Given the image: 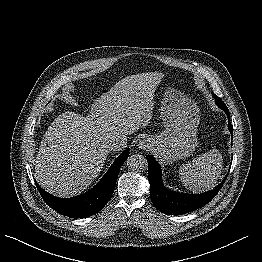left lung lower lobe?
<instances>
[{"mask_svg":"<svg viewBox=\"0 0 262 262\" xmlns=\"http://www.w3.org/2000/svg\"><path fill=\"white\" fill-rule=\"evenodd\" d=\"M228 116V128L233 135V128L230 123V113L228 108L220 107ZM148 178L150 183V197L154 206L162 213L168 215L186 214L199 209L208 204L223 186L224 180L213 190L201 194H184L168 190L162 182L161 166L155 161L154 157L147 155Z\"/></svg>","mask_w":262,"mask_h":262,"instance_id":"0a47b994","label":"left lung lower lobe"}]
</instances>
